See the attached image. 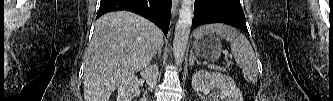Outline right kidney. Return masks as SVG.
<instances>
[{"label": "right kidney", "instance_id": "right-kidney-1", "mask_svg": "<svg viewBox=\"0 0 333 101\" xmlns=\"http://www.w3.org/2000/svg\"><path fill=\"white\" fill-rule=\"evenodd\" d=\"M141 76L144 78L149 85L153 88L156 85L158 77V66L156 64L151 65L141 71ZM139 93V80L135 76H129L125 78L118 88L117 101H130L132 94Z\"/></svg>", "mask_w": 333, "mask_h": 101}]
</instances>
